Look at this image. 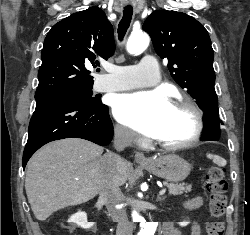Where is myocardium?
Listing matches in <instances>:
<instances>
[{
	"label": "myocardium",
	"instance_id": "myocardium-1",
	"mask_svg": "<svg viewBox=\"0 0 250 235\" xmlns=\"http://www.w3.org/2000/svg\"><path fill=\"white\" fill-rule=\"evenodd\" d=\"M170 106L187 109L192 114L195 122L193 132L191 136L184 141L168 143L154 138L153 142L165 150H179L195 145L200 140L204 130V116L202 110L195 101L188 97L177 98L172 101Z\"/></svg>",
	"mask_w": 250,
	"mask_h": 235
}]
</instances>
